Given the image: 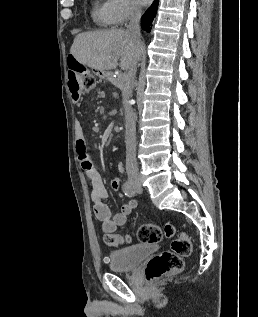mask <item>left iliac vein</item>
Listing matches in <instances>:
<instances>
[{"instance_id": "4c4485c4", "label": "left iliac vein", "mask_w": 258, "mask_h": 317, "mask_svg": "<svg viewBox=\"0 0 258 317\" xmlns=\"http://www.w3.org/2000/svg\"><path fill=\"white\" fill-rule=\"evenodd\" d=\"M135 181L137 182L138 180L136 179ZM129 182H130V183H133V182H134V179H133V178H130V179H129ZM134 188H135V194H136V195H141V194H142V186H141V185L135 184V185H134Z\"/></svg>"}]
</instances>
